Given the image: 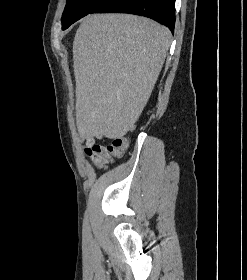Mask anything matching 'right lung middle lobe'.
<instances>
[{
    "label": "right lung middle lobe",
    "instance_id": "dd1d6c3e",
    "mask_svg": "<svg viewBox=\"0 0 247 280\" xmlns=\"http://www.w3.org/2000/svg\"><path fill=\"white\" fill-rule=\"evenodd\" d=\"M104 0H67L62 15V29L68 28L75 21L86 16Z\"/></svg>",
    "mask_w": 247,
    "mask_h": 280
}]
</instances>
